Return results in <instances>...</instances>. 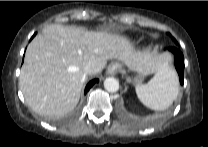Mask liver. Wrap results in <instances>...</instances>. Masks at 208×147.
Returning <instances> with one entry per match:
<instances>
[{
    "mask_svg": "<svg viewBox=\"0 0 208 147\" xmlns=\"http://www.w3.org/2000/svg\"><path fill=\"white\" fill-rule=\"evenodd\" d=\"M111 59L148 75L159 71L168 58L152 51H135L127 38L117 34L51 24L27 47L20 89L36 113L63 116L79 102L87 78L84 67L91 65L92 74L96 75Z\"/></svg>",
    "mask_w": 208,
    "mask_h": 147,
    "instance_id": "liver-1",
    "label": "liver"
}]
</instances>
